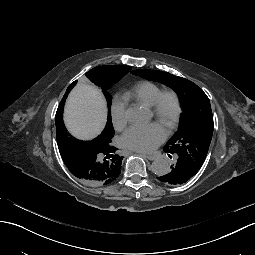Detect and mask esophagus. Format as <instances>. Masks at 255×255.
Instances as JSON below:
<instances>
[{
	"instance_id": "1",
	"label": "esophagus",
	"mask_w": 255,
	"mask_h": 255,
	"mask_svg": "<svg viewBox=\"0 0 255 255\" xmlns=\"http://www.w3.org/2000/svg\"><path fill=\"white\" fill-rule=\"evenodd\" d=\"M138 154H142V153H140V152H138ZM145 156V158H147V159H149V160H155L156 159V156H154V155H151V154H146V155H144Z\"/></svg>"
}]
</instances>
